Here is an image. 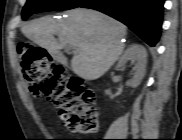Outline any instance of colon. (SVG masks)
Here are the masks:
<instances>
[{
	"mask_svg": "<svg viewBox=\"0 0 182 140\" xmlns=\"http://www.w3.org/2000/svg\"><path fill=\"white\" fill-rule=\"evenodd\" d=\"M17 52L30 91L52 102L70 131L86 135L94 133L98 113L93 106L95 96L86 83L71 76L47 51L28 41H19Z\"/></svg>",
	"mask_w": 182,
	"mask_h": 140,
	"instance_id": "colon-1",
	"label": "colon"
}]
</instances>
